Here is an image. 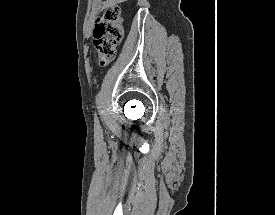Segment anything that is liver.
<instances>
[{
  "label": "liver",
  "instance_id": "6515ba94",
  "mask_svg": "<svg viewBox=\"0 0 275 215\" xmlns=\"http://www.w3.org/2000/svg\"><path fill=\"white\" fill-rule=\"evenodd\" d=\"M118 2H123V1H125V0H117Z\"/></svg>",
  "mask_w": 275,
  "mask_h": 215
}]
</instances>
